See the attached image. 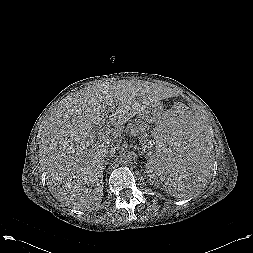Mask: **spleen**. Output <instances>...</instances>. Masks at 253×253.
Wrapping results in <instances>:
<instances>
[{
    "label": "spleen",
    "mask_w": 253,
    "mask_h": 253,
    "mask_svg": "<svg viewBox=\"0 0 253 253\" xmlns=\"http://www.w3.org/2000/svg\"><path fill=\"white\" fill-rule=\"evenodd\" d=\"M152 156L146 169L158 175L175 198L194 196L211 167L206 133L197 117L177 109L158 116L148 138Z\"/></svg>",
    "instance_id": "3e777b00"
}]
</instances>
